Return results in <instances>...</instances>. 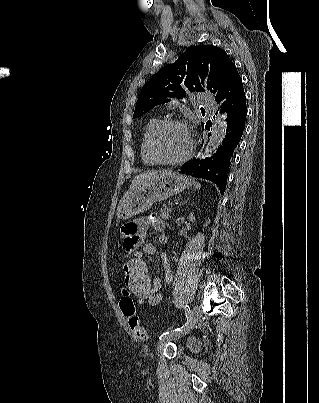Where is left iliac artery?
<instances>
[{"label":"left iliac artery","instance_id":"left-iliac-artery-1","mask_svg":"<svg viewBox=\"0 0 319 403\" xmlns=\"http://www.w3.org/2000/svg\"><path fill=\"white\" fill-rule=\"evenodd\" d=\"M185 315H186V320L188 321L190 316H191V310H190L189 306H187V305L185 306ZM186 322H185V324H186ZM185 324H183L181 327L175 328L174 330L167 331V332L163 333L159 337V339H161L163 337H166V336H169V335H172L174 332L180 331L185 326Z\"/></svg>","mask_w":319,"mask_h":403}]
</instances>
